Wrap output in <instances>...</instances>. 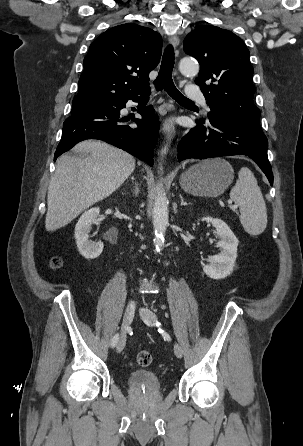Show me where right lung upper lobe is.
I'll list each match as a JSON object with an SVG mask.
<instances>
[{
	"mask_svg": "<svg viewBox=\"0 0 303 446\" xmlns=\"http://www.w3.org/2000/svg\"><path fill=\"white\" fill-rule=\"evenodd\" d=\"M162 38L133 23L108 29L84 58L76 99L90 108L113 105L150 90L148 74L160 61Z\"/></svg>",
	"mask_w": 303,
	"mask_h": 446,
	"instance_id": "cb5924a9",
	"label": "right lung upper lobe"
}]
</instances>
